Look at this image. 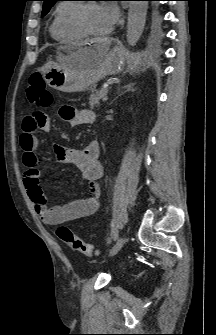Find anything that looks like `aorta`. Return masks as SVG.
<instances>
[{
	"label": "aorta",
	"mask_w": 216,
	"mask_h": 335,
	"mask_svg": "<svg viewBox=\"0 0 216 335\" xmlns=\"http://www.w3.org/2000/svg\"><path fill=\"white\" fill-rule=\"evenodd\" d=\"M148 4L146 1H131L128 10L127 41L130 46L140 39L146 21Z\"/></svg>",
	"instance_id": "762f6f07"
}]
</instances>
